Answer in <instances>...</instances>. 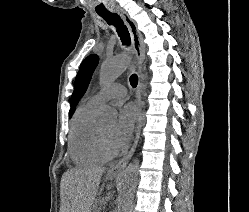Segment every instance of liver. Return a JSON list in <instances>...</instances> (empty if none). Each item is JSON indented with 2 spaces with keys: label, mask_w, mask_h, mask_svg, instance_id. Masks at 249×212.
I'll return each mask as SVG.
<instances>
[{
  "label": "liver",
  "mask_w": 249,
  "mask_h": 212,
  "mask_svg": "<svg viewBox=\"0 0 249 212\" xmlns=\"http://www.w3.org/2000/svg\"><path fill=\"white\" fill-rule=\"evenodd\" d=\"M106 168H73L65 172L63 184H66L67 212H92L99 184ZM108 180L116 176L108 174Z\"/></svg>",
  "instance_id": "1"
}]
</instances>
